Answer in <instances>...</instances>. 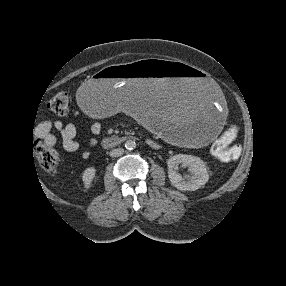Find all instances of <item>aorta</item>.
<instances>
[{"instance_id": "1", "label": "aorta", "mask_w": 286, "mask_h": 286, "mask_svg": "<svg viewBox=\"0 0 286 286\" xmlns=\"http://www.w3.org/2000/svg\"><path fill=\"white\" fill-rule=\"evenodd\" d=\"M135 147H136V143H135L134 140H127V141L125 142V148H126V149H128V150H133V149H135Z\"/></svg>"}]
</instances>
